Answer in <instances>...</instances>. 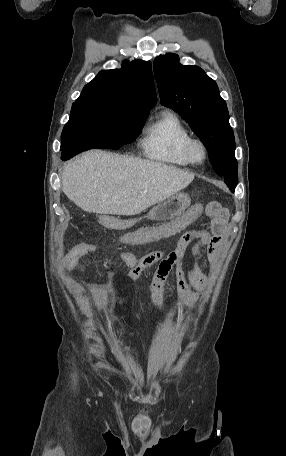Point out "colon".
<instances>
[{
  "label": "colon",
  "mask_w": 286,
  "mask_h": 456,
  "mask_svg": "<svg viewBox=\"0 0 286 456\" xmlns=\"http://www.w3.org/2000/svg\"><path fill=\"white\" fill-rule=\"evenodd\" d=\"M207 208L210 210V211H214V210H218L221 208V205L219 202L217 201H211L207 204Z\"/></svg>",
  "instance_id": "colon-1"
}]
</instances>
